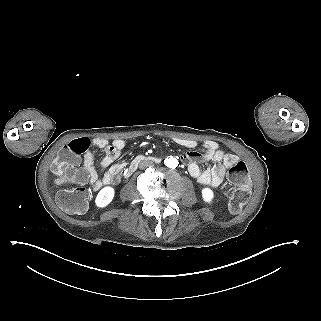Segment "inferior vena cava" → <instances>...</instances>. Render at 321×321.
Returning <instances> with one entry per match:
<instances>
[{
  "label": "inferior vena cava",
  "mask_w": 321,
  "mask_h": 321,
  "mask_svg": "<svg viewBox=\"0 0 321 321\" xmlns=\"http://www.w3.org/2000/svg\"><path fill=\"white\" fill-rule=\"evenodd\" d=\"M153 166H154V162H152L150 160H142L139 163V168L140 169H144V168H147V167H153Z\"/></svg>",
  "instance_id": "1"
}]
</instances>
